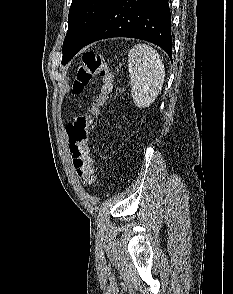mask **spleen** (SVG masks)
Returning a JSON list of instances; mask_svg holds the SVG:
<instances>
[{
    "label": "spleen",
    "instance_id": "1",
    "mask_svg": "<svg viewBox=\"0 0 233 294\" xmlns=\"http://www.w3.org/2000/svg\"><path fill=\"white\" fill-rule=\"evenodd\" d=\"M128 71L134 104L139 108L149 107L164 83L163 60L151 46L138 43L128 52Z\"/></svg>",
    "mask_w": 233,
    "mask_h": 294
}]
</instances>
